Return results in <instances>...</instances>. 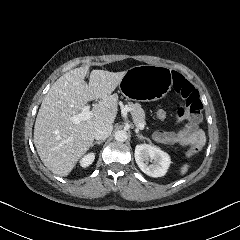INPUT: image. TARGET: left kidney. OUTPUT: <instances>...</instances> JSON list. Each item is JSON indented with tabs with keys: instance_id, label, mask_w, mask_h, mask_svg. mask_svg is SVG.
Instances as JSON below:
<instances>
[{
	"instance_id": "5707ae66",
	"label": "left kidney",
	"mask_w": 240,
	"mask_h": 240,
	"mask_svg": "<svg viewBox=\"0 0 240 240\" xmlns=\"http://www.w3.org/2000/svg\"><path fill=\"white\" fill-rule=\"evenodd\" d=\"M134 157L141 171L155 178L164 176L171 164L168 153L149 144L136 145Z\"/></svg>"
}]
</instances>
